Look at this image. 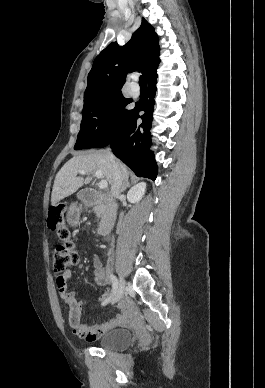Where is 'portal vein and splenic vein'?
Here are the masks:
<instances>
[{
	"mask_svg": "<svg viewBox=\"0 0 265 388\" xmlns=\"http://www.w3.org/2000/svg\"><path fill=\"white\" fill-rule=\"evenodd\" d=\"M78 174H86V170H79ZM95 176L96 178H103L101 170H97V172H95ZM99 188H101V190H105V188H108V182H106V180H101V182H99Z\"/></svg>",
	"mask_w": 265,
	"mask_h": 388,
	"instance_id": "portal-vein-and-splenic-vein-1",
	"label": "portal vein and splenic vein"
}]
</instances>
